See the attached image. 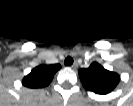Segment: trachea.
Listing matches in <instances>:
<instances>
[{"label":"trachea","mask_w":133,"mask_h":106,"mask_svg":"<svg viewBox=\"0 0 133 106\" xmlns=\"http://www.w3.org/2000/svg\"><path fill=\"white\" fill-rule=\"evenodd\" d=\"M73 58L72 57H67L65 60H64V64L65 66H70L73 64Z\"/></svg>","instance_id":"trachea-1"}]
</instances>
